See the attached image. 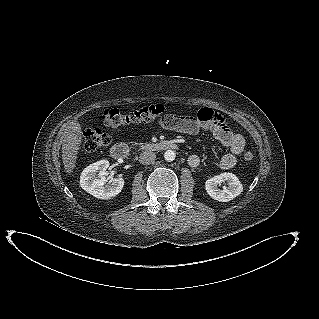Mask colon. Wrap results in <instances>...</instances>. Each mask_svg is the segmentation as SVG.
<instances>
[{
    "instance_id": "obj_1",
    "label": "colon",
    "mask_w": 319,
    "mask_h": 319,
    "mask_svg": "<svg viewBox=\"0 0 319 319\" xmlns=\"http://www.w3.org/2000/svg\"><path fill=\"white\" fill-rule=\"evenodd\" d=\"M165 110L166 108L162 104L142 106L127 113L117 108H110L104 110L101 118L106 126L119 127L159 119L163 116ZM112 140V136L101 129H88L84 133L83 148L87 152H93L108 146ZM254 158L255 155L252 151L246 150L243 152V159L246 162H252Z\"/></svg>"
}]
</instances>
